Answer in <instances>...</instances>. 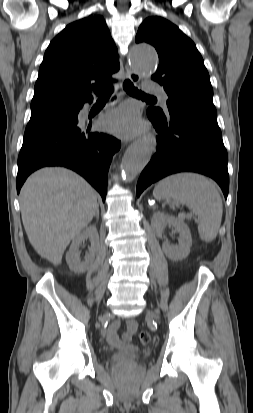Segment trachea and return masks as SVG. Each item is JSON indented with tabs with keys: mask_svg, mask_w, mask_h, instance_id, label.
<instances>
[{
	"mask_svg": "<svg viewBox=\"0 0 253 413\" xmlns=\"http://www.w3.org/2000/svg\"><path fill=\"white\" fill-rule=\"evenodd\" d=\"M123 88L124 90L133 96H141V97H147V98H154L153 96L146 95L142 91H139L130 80H125L123 83ZM113 92V86L112 84H107L104 88L101 90L95 91L96 95L99 97V99H107L111 96Z\"/></svg>",
	"mask_w": 253,
	"mask_h": 413,
	"instance_id": "1",
	"label": "trachea"
}]
</instances>
